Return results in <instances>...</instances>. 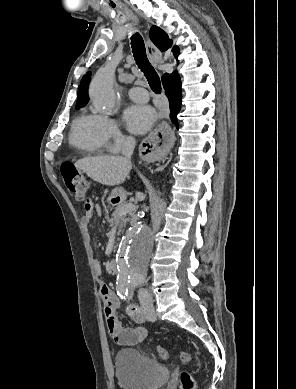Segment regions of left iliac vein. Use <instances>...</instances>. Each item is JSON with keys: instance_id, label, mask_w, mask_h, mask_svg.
Masks as SVG:
<instances>
[{"instance_id": "1", "label": "left iliac vein", "mask_w": 296, "mask_h": 389, "mask_svg": "<svg viewBox=\"0 0 296 389\" xmlns=\"http://www.w3.org/2000/svg\"><path fill=\"white\" fill-rule=\"evenodd\" d=\"M142 320L146 319L149 321H155L157 316L154 310L153 302L145 300L142 302Z\"/></svg>"}]
</instances>
